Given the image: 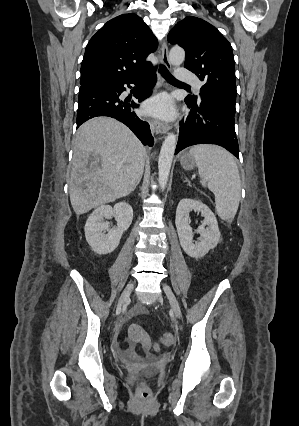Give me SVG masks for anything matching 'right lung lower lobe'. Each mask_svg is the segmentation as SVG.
Wrapping results in <instances>:
<instances>
[{"instance_id": "right-lung-lower-lobe-1", "label": "right lung lower lobe", "mask_w": 299, "mask_h": 426, "mask_svg": "<svg viewBox=\"0 0 299 426\" xmlns=\"http://www.w3.org/2000/svg\"><path fill=\"white\" fill-rule=\"evenodd\" d=\"M146 73L123 80L115 84H85L79 89L77 112V128L86 120L97 116H109L128 126L140 139L143 145L152 146L154 139L151 135L149 123L142 120L135 113L138 104L130 99H122L120 95L126 90L125 84L139 85L135 98L139 102L150 96L149 89L156 82V76L150 75L142 82Z\"/></svg>"}]
</instances>
